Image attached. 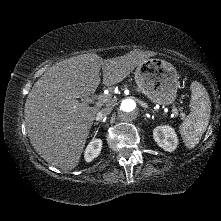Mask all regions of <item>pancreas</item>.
Here are the masks:
<instances>
[{"label":"pancreas","mask_w":221,"mask_h":221,"mask_svg":"<svg viewBox=\"0 0 221 221\" xmlns=\"http://www.w3.org/2000/svg\"><path fill=\"white\" fill-rule=\"evenodd\" d=\"M107 98L109 99V104H112L111 95H107Z\"/></svg>","instance_id":"1"}]
</instances>
